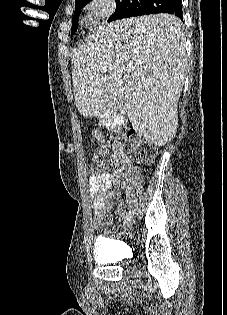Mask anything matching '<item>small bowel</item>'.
Segmentation results:
<instances>
[{"label": "small bowel", "instance_id": "1", "mask_svg": "<svg viewBox=\"0 0 227 315\" xmlns=\"http://www.w3.org/2000/svg\"><path fill=\"white\" fill-rule=\"evenodd\" d=\"M114 157L115 169L111 174L106 172L93 174L88 180V189L92 198V213L99 222H102L110 213L109 198L120 195L117 187L109 194L106 191L110 190L112 186L118 185L123 176L133 177L139 172V167L120 147H116ZM118 210L121 215L125 213V205L122 200L119 201Z\"/></svg>", "mask_w": 227, "mask_h": 315}]
</instances>
